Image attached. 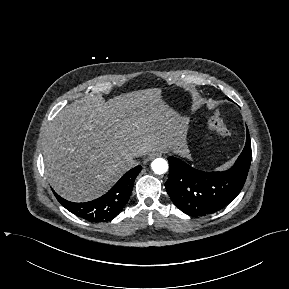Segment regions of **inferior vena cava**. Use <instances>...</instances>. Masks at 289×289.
<instances>
[{
  "label": "inferior vena cava",
  "mask_w": 289,
  "mask_h": 289,
  "mask_svg": "<svg viewBox=\"0 0 289 289\" xmlns=\"http://www.w3.org/2000/svg\"><path fill=\"white\" fill-rule=\"evenodd\" d=\"M125 160L131 168L138 164V162L135 160V156H127Z\"/></svg>",
  "instance_id": "1"
}]
</instances>
